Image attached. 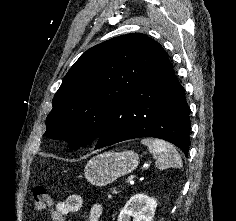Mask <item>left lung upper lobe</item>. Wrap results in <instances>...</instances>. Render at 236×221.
<instances>
[{"mask_svg":"<svg viewBox=\"0 0 236 221\" xmlns=\"http://www.w3.org/2000/svg\"><path fill=\"white\" fill-rule=\"evenodd\" d=\"M163 52L158 42L141 33L115 37L88 49L56 92L44 136L63 139L73 149L90 143Z\"/></svg>","mask_w":236,"mask_h":221,"instance_id":"1","label":"left lung upper lobe"}]
</instances>
